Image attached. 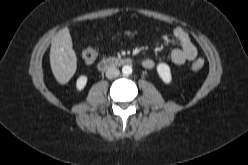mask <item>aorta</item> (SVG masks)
<instances>
[{"label":"aorta","mask_w":248,"mask_h":165,"mask_svg":"<svg viewBox=\"0 0 248 165\" xmlns=\"http://www.w3.org/2000/svg\"><path fill=\"white\" fill-rule=\"evenodd\" d=\"M122 73L124 75H130L132 73V67L130 65H124L122 67Z\"/></svg>","instance_id":"1"}]
</instances>
